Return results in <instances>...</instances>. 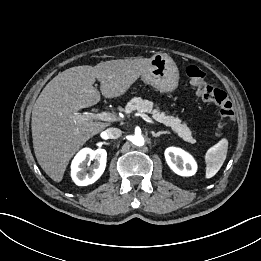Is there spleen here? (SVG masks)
Wrapping results in <instances>:
<instances>
[{
  "label": "spleen",
  "instance_id": "3e777b00",
  "mask_svg": "<svg viewBox=\"0 0 261 261\" xmlns=\"http://www.w3.org/2000/svg\"><path fill=\"white\" fill-rule=\"evenodd\" d=\"M228 150V141L222 138L217 144L211 147L205 156L207 179L212 178L222 167Z\"/></svg>",
  "mask_w": 261,
  "mask_h": 261
}]
</instances>
